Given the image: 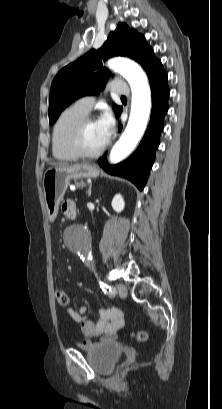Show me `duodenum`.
<instances>
[{
    "label": "duodenum",
    "instance_id": "duodenum-1",
    "mask_svg": "<svg viewBox=\"0 0 222 409\" xmlns=\"http://www.w3.org/2000/svg\"><path fill=\"white\" fill-rule=\"evenodd\" d=\"M76 216V212H72L71 214H70V217L71 218H74Z\"/></svg>",
    "mask_w": 222,
    "mask_h": 409
}]
</instances>
